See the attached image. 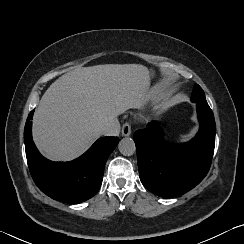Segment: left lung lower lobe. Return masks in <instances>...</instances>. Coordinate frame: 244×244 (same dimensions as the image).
<instances>
[{
	"instance_id": "1",
	"label": "left lung lower lobe",
	"mask_w": 244,
	"mask_h": 244,
	"mask_svg": "<svg viewBox=\"0 0 244 244\" xmlns=\"http://www.w3.org/2000/svg\"><path fill=\"white\" fill-rule=\"evenodd\" d=\"M198 110L202 129L189 148L165 144L154 124L134 133L140 180L158 196L183 194L199 184L209 171L215 146V120L203 100L198 101Z\"/></svg>"
}]
</instances>
